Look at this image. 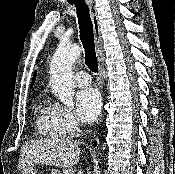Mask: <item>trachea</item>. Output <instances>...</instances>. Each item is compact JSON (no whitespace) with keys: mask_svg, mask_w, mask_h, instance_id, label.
I'll use <instances>...</instances> for the list:
<instances>
[{"mask_svg":"<svg viewBox=\"0 0 175 174\" xmlns=\"http://www.w3.org/2000/svg\"><path fill=\"white\" fill-rule=\"evenodd\" d=\"M71 4H75L80 29V39L82 41L86 64L93 72H97L98 63L93 41V23L89 14V7L84 0H70Z\"/></svg>","mask_w":175,"mask_h":174,"instance_id":"obj_1","label":"trachea"}]
</instances>
